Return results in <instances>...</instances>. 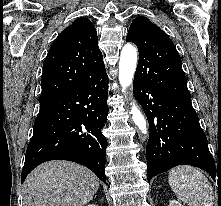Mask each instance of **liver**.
I'll use <instances>...</instances> for the list:
<instances>
[{"label": "liver", "instance_id": "1", "mask_svg": "<svg viewBox=\"0 0 221 206\" xmlns=\"http://www.w3.org/2000/svg\"><path fill=\"white\" fill-rule=\"evenodd\" d=\"M25 187V206H84L97 192L99 179L77 163L50 161L28 175Z\"/></svg>", "mask_w": 221, "mask_h": 206}]
</instances>
